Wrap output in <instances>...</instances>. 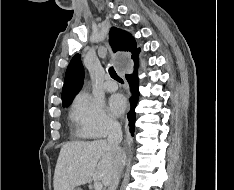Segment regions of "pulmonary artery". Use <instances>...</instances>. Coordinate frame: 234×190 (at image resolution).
I'll use <instances>...</instances> for the list:
<instances>
[{
	"instance_id": "e3ab8cb5",
	"label": "pulmonary artery",
	"mask_w": 234,
	"mask_h": 190,
	"mask_svg": "<svg viewBox=\"0 0 234 190\" xmlns=\"http://www.w3.org/2000/svg\"><path fill=\"white\" fill-rule=\"evenodd\" d=\"M104 87L107 91H115L117 90L118 88V85L115 81H113L109 75L106 76V81H105V84H104Z\"/></svg>"
}]
</instances>
